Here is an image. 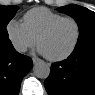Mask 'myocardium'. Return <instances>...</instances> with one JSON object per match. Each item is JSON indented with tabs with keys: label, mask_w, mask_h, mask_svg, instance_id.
<instances>
[{
	"label": "myocardium",
	"mask_w": 95,
	"mask_h": 95,
	"mask_svg": "<svg viewBox=\"0 0 95 95\" xmlns=\"http://www.w3.org/2000/svg\"><path fill=\"white\" fill-rule=\"evenodd\" d=\"M64 21H72L75 23L76 25V28H77V36H76V39H75V42L74 44L72 45V47L67 51L65 52L64 54L60 55V56H57V57H52V56H48V55H45L44 56L50 60V61H54V62H59V61H62V60H65L67 59L69 56H71L74 51L76 50V48L78 47L79 43H80V40H81V36H82V28H81V24L80 22L74 18V17H63L61 19H58L56 21H54L53 23H51L49 26H47L37 37L36 39V42H37V45L39 47L40 45V41L45 37L47 36L48 34H50L60 23L64 22Z\"/></svg>",
	"instance_id": "f54148a6"
}]
</instances>
